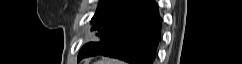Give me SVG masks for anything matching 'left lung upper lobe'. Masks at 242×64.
<instances>
[{
	"mask_svg": "<svg viewBox=\"0 0 242 64\" xmlns=\"http://www.w3.org/2000/svg\"><path fill=\"white\" fill-rule=\"evenodd\" d=\"M120 0H100L98 8L92 18L93 27L92 30H95V26L99 18L108 11L113 5H115Z\"/></svg>",
	"mask_w": 242,
	"mask_h": 64,
	"instance_id": "obj_1",
	"label": "left lung upper lobe"
}]
</instances>
